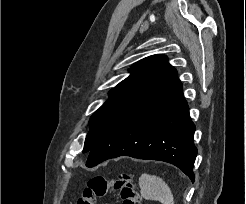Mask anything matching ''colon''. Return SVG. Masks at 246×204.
Segmentation results:
<instances>
[{
    "mask_svg": "<svg viewBox=\"0 0 246 204\" xmlns=\"http://www.w3.org/2000/svg\"><path fill=\"white\" fill-rule=\"evenodd\" d=\"M110 190L117 191L122 204H139L140 195L134 180L129 175H119L112 179L102 176L91 178L77 200V204H95L97 198L104 197Z\"/></svg>",
    "mask_w": 246,
    "mask_h": 204,
    "instance_id": "obj_1",
    "label": "colon"
}]
</instances>
